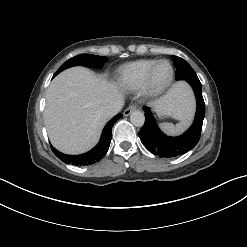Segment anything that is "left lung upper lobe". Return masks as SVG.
Wrapping results in <instances>:
<instances>
[{
	"label": "left lung upper lobe",
	"instance_id": "5c2ea615",
	"mask_svg": "<svg viewBox=\"0 0 247 247\" xmlns=\"http://www.w3.org/2000/svg\"><path fill=\"white\" fill-rule=\"evenodd\" d=\"M172 60L176 67L177 80H188L191 78H198L195 71L184 59L173 55Z\"/></svg>",
	"mask_w": 247,
	"mask_h": 247
}]
</instances>
